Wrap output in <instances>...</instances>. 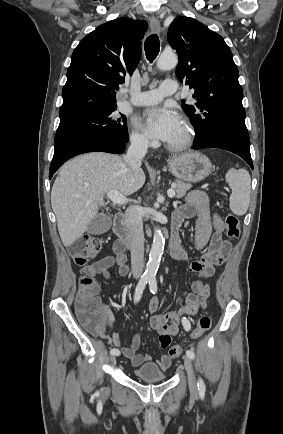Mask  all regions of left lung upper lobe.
<instances>
[{"label":"left lung upper lobe","mask_w":283,"mask_h":434,"mask_svg":"<svg viewBox=\"0 0 283 434\" xmlns=\"http://www.w3.org/2000/svg\"><path fill=\"white\" fill-rule=\"evenodd\" d=\"M168 42L178 52L176 76L195 90V105L184 100L181 105L193 121L195 144L250 148L239 72L224 39L197 20L178 16L169 26Z\"/></svg>","instance_id":"5c2ea615"}]
</instances>
